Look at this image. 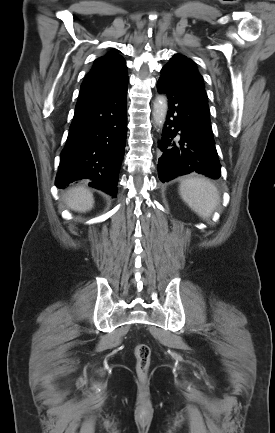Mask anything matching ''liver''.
Here are the masks:
<instances>
[{"mask_svg":"<svg viewBox=\"0 0 275 433\" xmlns=\"http://www.w3.org/2000/svg\"><path fill=\"white\" fill-rule=\"evenodd\" d=\"M64 200L69 208L78 212L89 211L94 205L93 194L83 186L68 190Z\"/></svg>","mask_w":275,"mask_h":433,"instance_id":"1","label":"liver"}]
</instances>
